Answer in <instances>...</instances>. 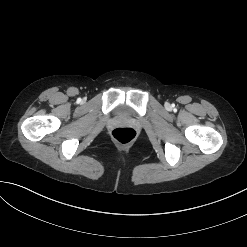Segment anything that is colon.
Instances as JSON below:
<instances>
[{"instance_id": "colon-1", "label": "colon", "mask_w": 247, "mask_h": 247, "mask_svg": "<svg viewBox=\"0 0 247 247\" xmlns=\"http://www.w3.org/2000/svg\"><path fill=\"white\" fill-rule=\"evenodd\" d=\"M112 137L121 144H128L136 138V131L130 127H119L112 131Z\"/></svg>"}]
</instances>
